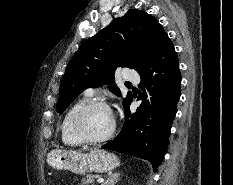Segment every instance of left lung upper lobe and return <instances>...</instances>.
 <instances>
[{
	"mask_svg": "<svg viewBox=\"0 0 233 185\" xmlns=\"http://www.w3.org/2000/svg\"><path fill=\"white\" fill-rule=\"evenodd\" d=\"M168 37L158 20L148 13L129 9L123 17L81 44L69 62L61 82L57 111L62 113L70 103L86 88L101 84H112L117 67L143 70ZM137 53L143 58L134 57ZM110 90L117 95L116 86ZM132 101L128 93L123 101L124 109Z\"/></svg>",
	"mask_w": 233,
	"mask_h": 185,
	"instance_id": "5c2ea615",
	"label": "left lung upper lobe"
}]
</instances>
